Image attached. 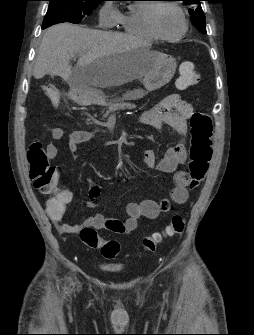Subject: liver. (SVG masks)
I'll use <instances>...</instances> for the list:
<instances>
[{
  "label": "liver",
  "mask_w": 254,
  "mask_h": 335,
  "mask_svg": "<svg viewBox=\"0 0 254 335\" xmlns=\"http://www.w3.org/2000/svg\"><path fill=\"white\" fill-rule=\"evenodd\" d=\"M147 46L123 33L56 24L44 32L33 75L37 79L47 74L60 76L71 87L81 89L120 86L144 77L151 69L154 57ZM140 48L147 50L137 52ZM74 57L78 61L72 68ZM94 62L97 64L89 68Z\"/></svg>",
  "instance_id": "liver-1"
}]
</instances>
